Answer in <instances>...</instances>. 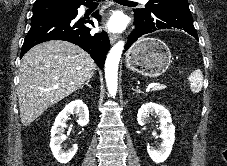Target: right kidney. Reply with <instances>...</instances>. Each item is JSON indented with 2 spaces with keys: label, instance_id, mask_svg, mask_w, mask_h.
I'll return each instance as SVG.
<instances>
[{
  "label": "right kidney",
  "instance_id": "ca27d5eb",
  "mask_svg": "<svg viewBox=\"0 0 227 166\" xmlns=\"http://www.w3.org/2000/svg\"><path fill=\"white\" fill-rule=\"evenodd\" d=\"M78 117V124L86 126L89 122V110L86 104L81 100H75L64 107V109L57 115L54 125L51 129L50 148L55 159L62 164L68 163L78 150V145L74 144L73 147L67 151L62 149V143L66 139L64 135L66 128V121L70 115Z\"/></svg>",
  "mask_w": 227,
  "mask_h": 166
}]
</instances>
